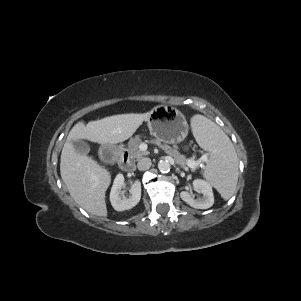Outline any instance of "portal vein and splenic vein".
<instances>
[{"mask_svg": "<svg viewBox=\"0 0 301 301\" xmlns=\"http://www.w3.org/2000/svg\"><path fill=\"white\" fill-rule=\"evenodd\" d=\"M207 158H208L207 154H203L199 161L189 160L188 161V166L191 167V168H194L199 164V162L207 161Z\"/></svg>", "mask_w": 301, "mask_h": 301, "instance_id": "18ae733b", "label": "portal vein and splenic vein"}]
</instances>
